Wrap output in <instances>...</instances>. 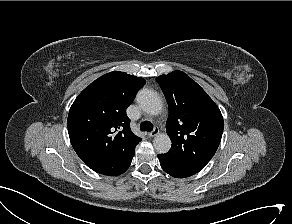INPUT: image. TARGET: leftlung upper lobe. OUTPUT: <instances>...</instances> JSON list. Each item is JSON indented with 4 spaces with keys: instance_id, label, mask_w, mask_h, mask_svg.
Segmentation results:
<instances>
[{
    "instance_id": "5c2ea615",
    "label": "left lung upper lobe",
    "mask_w": 292,
    "mask_h": 224,
    "mask_svg": "<svg viewBox=\"0 0 292 224\" xmlns=\"http://www.w3.org/2000/svg\"><path fill=\"white\" fill-rule=\"evenodd\" d=\"M169 106L166 132L171 149L161 156L197 173L214 156L222 137L223 117L214 101L187 74L173 71L156 78Z\"/></svg>"
}]
</instances>
